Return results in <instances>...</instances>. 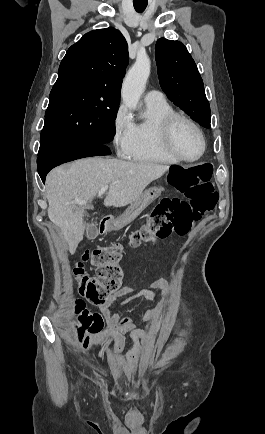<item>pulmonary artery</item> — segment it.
Returning <instances> with one entry per match:
<instances>
[{
  "mask_svg": "<svg viewBox=\"0 0 265 434\" xmlns=\"http://www.w3.org/2000/svg\"><path fill=\"white\" fill-rule=\"evenodd\" d=\"M132 67L133 65L130 68ZM164 96L163 91H157V89L153 87L145 93L144 101L147 103H161Z\"/></svg>",
  "mask_w": 265,
  "mask_h": 434,
  "instance_id": "e3ab8cb5",
  "label": "pulmonary artery"
}]
</instances>
